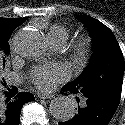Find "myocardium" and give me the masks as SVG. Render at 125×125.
<instances>
[{
	"label": "myocardium",
	"mask_w": 125,
	"mask_h": 125,
	"mask_svg": "<svg viewBox=\"0 0 125 125\" xmlns=\"http://www.w3.org/2000/svg\"><path fill=\"white\" fill-rule=\"evenodd\" d=\"M92 41L87 36L78 38L71 47L72 57L76 63H84L90 57Z\"/></svg>",
	"instance_id": "obj_1"
}]
</instances>
